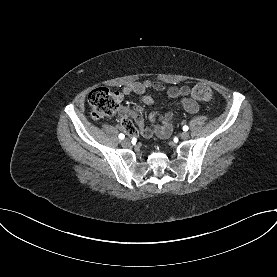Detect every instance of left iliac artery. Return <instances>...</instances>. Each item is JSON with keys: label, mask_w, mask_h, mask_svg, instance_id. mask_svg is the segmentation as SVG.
Returning a JSON list of instances; mask_svg holds the SVG:
<instances>
[{"label": "left iliac artery", "mask_w": 277, "mask_h": 277, "mask_svg": "<svg viewBox=\"0 0 277 277\" xmlns=\"http://www.w3.org/2000/svg\"><path fill=\"white\" fill-rule=\"evenodd\" d=\"M188 129H189V128H188V126H186V125L183 127V130H184V131H187Z\"/></svg>", "instance_id": "obj_1"}]
</instances>
